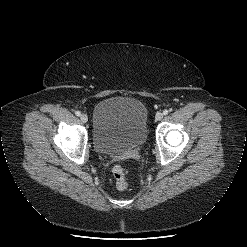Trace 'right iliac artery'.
Masks as SVG:
<instances>
[{
  "mask_svg": "<svg viewBox=\"0 0 247 247\" xmlns=\"http://www.w3.org/2000/svg\"><path fill=\"white\" fill-rule=\"evenodd\" d=\"M75 114H76V116H80L81 112L80 111H76Z\"/></svg>",
  "mask_w": 247,
  "mask_h": 247,
  "instance_id": "1",
  "label": "right iliac artery"
}]
</instances>
